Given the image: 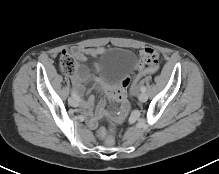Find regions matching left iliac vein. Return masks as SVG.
<instances>
[{
  "mask_svg": "<svg viewBox=\"0 0 219 174\" xmlns=\"http://www.w3.org/2000/svg\"><path fill=\"white\" fill-rule=\"evenodd\" d=\"M148 99V96L146 93L144 92H141L139 95H138V100L140 102H145L146 100Z\"/></svg>",
  "mask_w": 219,
  "mask_h": 174,
  "instance_id": "1",
  "label": "left iliac vein"
}]
</instances>
